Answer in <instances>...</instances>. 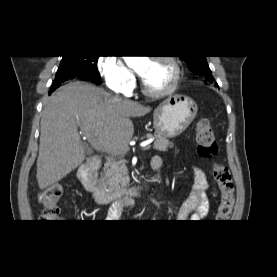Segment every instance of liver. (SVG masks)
<instances>
[{
  "label": "liver",
  "mask_w": 277,
  "mask_h": 277,
  "mask_svg": "<svg viewBox=\"0 0 277 277\" xmlns=\"http://www.w3.org/2000/svg\"><path fill=\"white\" fill-rule=\"evenodd\" d=\"M150 111L149 106L111 97L89 83L76 81L60 87L42 111L36 174L39 188L59 182L84 161L78 127L114 156L128 150L134 134L130 117Z\"/></svg>",
  "instance_id": "6515ba94"
}]
</instances>
